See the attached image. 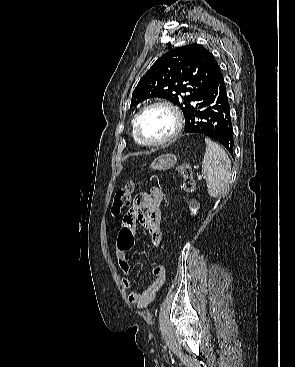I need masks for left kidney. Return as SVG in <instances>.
<instances>
[{"mask_svg":"<svg viewBox=\"0 0 295 367\" xmlns=\"http://www.w3.org/2000/svg\"><path fill=\"white\" fill-rule=\"evenodd\" d=\"M189 209H190L192 215H196L197 211L199 209V203H197L196 200H191L189 202Z\"/></svg>","mask_w":295,"mask_h":367,"instance_id":"1","label":"left kidney"}]
</instances>
